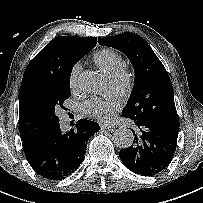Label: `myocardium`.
<instances>
[{
    "label": "myocardium",
    "mask_w": 203,
    "mask_h": 203,
    "mask_svg": "<svg viewBox=\"0 0 203 203\" xmlns=\"http://www.w3.org/2000/svg\"><path fill=\"white\" fill-rule=\"evenodd\" d=\"M108 77L112 81L117 82L120 90H126L130 86L131 76L125 67L119 68L108 74Z\"/></svg>",
    "instance_id": "1"
}]
</instances>
